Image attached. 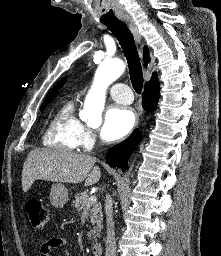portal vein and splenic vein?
Returning <instances> with one entry per match:
<instances>
[{"mask_svg":"<svg viewBox=\"0 0 221 256\" xmlns=\"http://www.w3.org/2000/svg\"><path fill=\"white\" fill-rule=\"evenodd\" d=\"M89 201H90V202H97V197H96V195H92V196L89 198Z\"/></svg>","mask_w":221,"mask_h":256,"instance_id":"18ae733b","label":"portal vein and splenic vein"}]
</instances>
